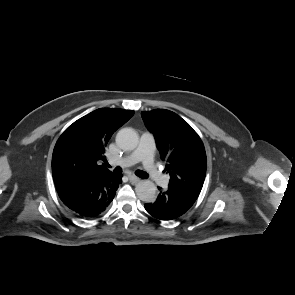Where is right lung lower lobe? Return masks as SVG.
Here are the masks:
<instances>
[{
  "label": "right lung lower lobe",
  "instance_id": "obj_1",
  "mask_svg": "<svg viewBox=\"0 0 295 295\" xmlns=\"http://www.w3.org/2000/svg\"><path fill=\"white\" fill-rule=\"evenodd\" d=\"M121 183L122 175L110 172L86 183L58 185L56 189L69 209L87 219L95 218L105 211Z\"/></svg>",
  "mask_w": 295,
  "mask_h": 295
}]
</instances>
